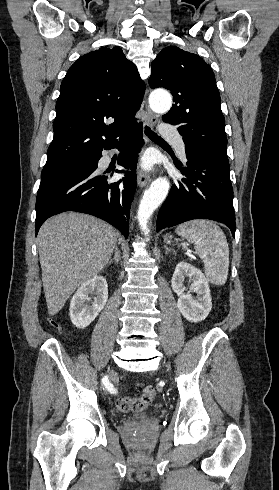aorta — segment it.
<instances>
[{
  "mask_svg": "<svg viewBox=\"0 0 279 490\" xmlns=\"http://www.w3.org/2000/svg\"><path fill=\"white\" fill-rule=\"evenodd\" d=\"M150 108L156 113H166L172 106L171 95L166 91H155L149 97ZM170 189V183L165 177L154 180L144 192L139 204L137 218L145 236H148V222L153 212L165 200Z\"/></svg>",
  "mask_w": 279,
  "mask_h": 490,
  "instance_id": "1",
  "label": "aorta"
}]
</instances>
